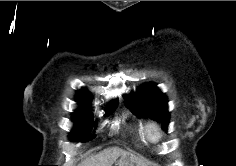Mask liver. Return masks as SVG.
<instances>
[{"label":"liver","instance_id":"1","mask_svg":"<svg viewBox=\"0 0 236 166\" xmlns=\"http://www.w3.org/2000/svg\"><path fill=\"white\" fill-rule=\"evenodd\" d=\"M127 155L131 154L121 148L112 147L85 159L78 166H112L119 157H125ZM131 156L133 163H136L137 166H146L141 160L133 155Z\"/></svg>","mask_w":236,"mask_h":166}]
</instances>
